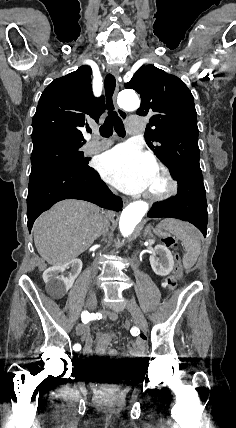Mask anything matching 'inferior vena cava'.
Segmentation results:
<instances>
[{
  "label": "inferior vena cava",
  "instance_id": "inferior-vena-cava-1",
  "mask_svg": "<svg viewBox=\"0 0 236 428\" xmlns=\"http://www.w3.org/2000/svg\"><path fill=\"white\" fill-rule=\"evenodd\" d=\"M94 267L92 268L93 270L91 271L93 274L96 272L95 270L97 269V268H99V262L96 260L95 262H94V265H93ZM93 285H96V282H93ZM89 295H95V292H89Z\"/></svg>",
  "mask_w": 236,
  "mask_h": 428
}]
</instances>
